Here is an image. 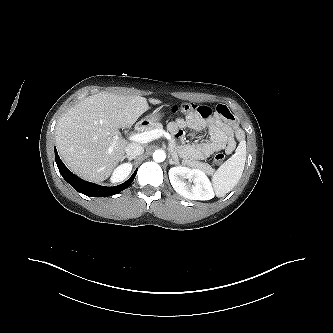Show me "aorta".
<instances>
[{
  "mask_svg": "<svg viewBox=\"0 0 333 333\" xmlns=\"http://www.w3.org/2000/svg\"><path fill=\"white\" fill-rule=\"evenodd\" d=\"M165 158H166V153L164 150L158 149L153 153V160L156 162H163Z\"/></svg>",
  "mask_w": 333,
  "mask_h": 333,
  "instance_id": "1",
  "label": "aorta"
}]
</instances>
